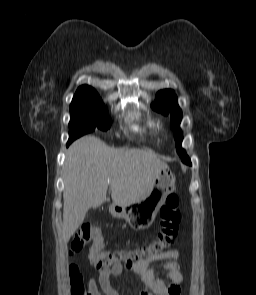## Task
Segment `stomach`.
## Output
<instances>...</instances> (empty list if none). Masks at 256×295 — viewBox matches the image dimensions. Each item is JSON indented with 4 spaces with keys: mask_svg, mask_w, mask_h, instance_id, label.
Returning <instances> with one entry per match:
<instances>
[{
    "mask_svg": "<svg viewBox=\"0 0 256 295\" xmlns=\"http://www.w3.org/2000/svg\"><path fill=\"white\" fill-rule=\"evenodd\" d=\"M175 189L174 175L168 166L163 167L145 195L136 202L122 206L113 204L110 213L124 219L134 230H144L151 226L166 198Z\"/></svg>",
    "mask_w": 256,
    "mask_h": 295,
    "instance_id": "stomach-1",
    "label": "stomach"
}]
</instances>
